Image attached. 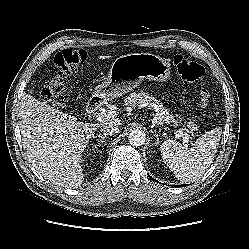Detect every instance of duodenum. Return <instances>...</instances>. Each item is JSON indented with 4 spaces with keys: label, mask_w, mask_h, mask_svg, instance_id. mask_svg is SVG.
<instances>
[{
    "label": "duodenum",
    "mask_w": 249,
    "mask_h": 249,
    "mask_svg": "<svg viewBox=\"0 0 249 249\" xmlns=\"http://www.w3.org/2000/svg\"><path fill=\"white\" fill-rule=\"evenodd\" d=\"M102 99L98 96L92 97L87 104V113L94 114L102 105Z\"/></svg>",
    "instance_id": "1"
}]
</instances>
